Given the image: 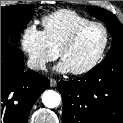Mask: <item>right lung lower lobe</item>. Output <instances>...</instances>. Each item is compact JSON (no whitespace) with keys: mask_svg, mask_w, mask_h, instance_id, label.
<instances>
[{"mask_svg":"<svg viewBox=\"0 0 123 123\" xmlns=\"http://www.w3.org/2000/svg\"><path fill=\"white\" fill-rule=\"evenodd\" d=\"M48 87V78L24 70L20 49L1 42V123H27L33 104Z\"/></svg>","mask_w":123,"mask_h":123,"instance_id":"98d812e1","label":"right lung lower lobe"}]
</instances>
